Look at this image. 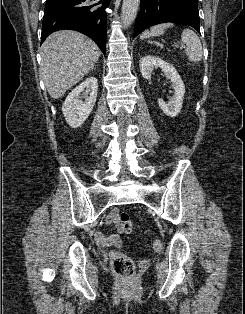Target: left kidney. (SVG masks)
<instances>
[{
	"mask_svg": "<svg viewBox=\"0 0 245 314\" xmlns=\"http://www.w3.org/2000/svg\"><path fill=\"white\" fill-rule=\"evenodd\" d=\"M158 67L161 68L166 77L171 80L172 87L174 89V96L172 97L171 101L166 103L163 101V99L159 98L158 105L164 114L169 117H176L181 111L183 105L185 85L175 67L160 59L159 57L152 55H146L140 60V71L143 78L147 80L151 79V74L154 68Z\"/></svg>",
	"mask_w": 245,
	"mask_h": 314,
	"instance_id": "5707ae66",
	"label": "left kidney"
}]
</instances>
